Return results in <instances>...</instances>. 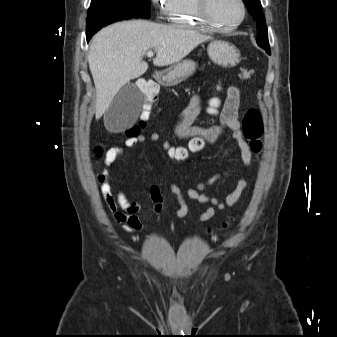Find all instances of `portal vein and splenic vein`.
I'll return each instance as SVG.
<instances>
[{
    "mask_svg": "<svg viewBox=\"0 0 337 337\" xmlns=\"http://www.w3.org/2000/svg\"><path fill=\"white\" fill-rule=\"evenodd\" d=\"M146 55H147V57L151 58V57H153L154 53H153V51H148Z\"/></svg>",
    "mask_w": 337,
    "mask_h": 337,
    "instance_id": "18ae733b",
    "label": "portal vein and splenic vein"
}]
</instances>
